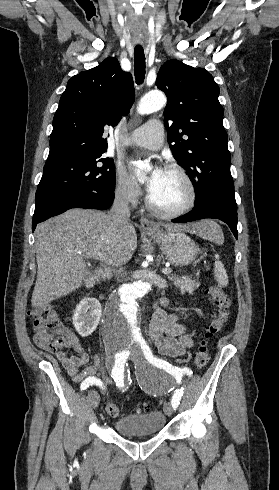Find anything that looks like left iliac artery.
Here are the masks:
<instances>
[{"label": "left iliac artery", "mask_w": 279, "mask_h": 490, "mask_svg": "<svg viewBox=\"0 0 279 490\" xmlns=\"http://www.w3.org/2000/svg\"><path fill=\"white\" fill-rule=\"evenodd\" d=\"M141 347L143 349V352H144L146 359L149 362H151L152 364H154L160 368L165 369L168 373L174 375L175 377L180 376V375L182 376V374H185V373L189 376L192 375L193 372L189 368L180 369L178 367L172 366L171 364H169L168 362H166L162 359H157L156 357H154L149 346H147L145 343H141ZM182 396H183V388L175 390V392L172 396V400H171V404H172V407L174 409H176L178 407V405L180 404V400H181Z\"/></svg>", "instance_id": "left-iliac-artery-1"}]
</instances>
